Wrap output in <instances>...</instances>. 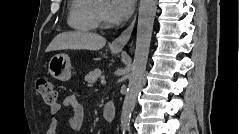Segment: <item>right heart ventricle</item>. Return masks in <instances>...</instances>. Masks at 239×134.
I'll return each mask as SVG.
<instances>
[{
  "instance_id": "obj_1",
  "label": "right heart ventricle",
  "mask_w": 239,
  "mask_h": 134,
  "mask_svg": "<svg viewBox=\"0 0 239 134\" xmlns=\"http://www.w3.org/2000/svg\"><path fill=\"white\" fill-rule=\"evenodd\" d=\"M96 0H73L69 7L68 24L81 32L94 31L97 26Z\"/></svg>"
}]
</instances>
